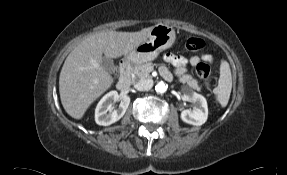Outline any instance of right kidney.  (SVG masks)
<instances>
[{"label":"right kidney","instance_id":"right-kidney-1","mask_svg":"<svg viewBox=\"0 0 287 175\" xmlns=\"http://www.w3.org/2000/svg\"><path fill=\"white\" fill-rule=\"evenodd\" d=\"M119 98L117 91H110L102 97L95 109V121L98 125L108 126L121 119L130 103V98L124 96L119 107L114 109L113 101Z\"/></svg>","mask_w":287,"mask_h":175}]
</instances>
